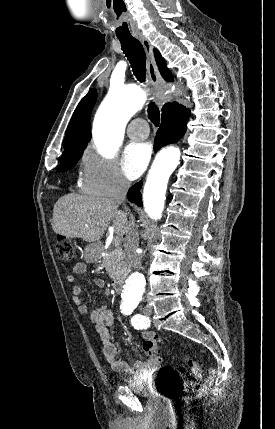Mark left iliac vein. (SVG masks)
I'll use <instances>...</instances> for the list:
<instances>
[{"label": "left iliac vein", "instance_id": "left-iliac-vein-1", "mask_svg": "<svg viewBox=\"0 0 275 429\" xmlns=\"http://www.w3.org/2000/svg\"><path fill=\"white\" fill-rule=\"evenodd\" d=\"M143 312L145 316L149 317L152 314V309L149 306H145Z\"/></svg>", "mask_w": 275, "mask_h": 429}]
</instances>
